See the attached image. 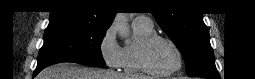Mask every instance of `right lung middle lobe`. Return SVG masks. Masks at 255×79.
Listing matches in <instances>:
<instances>
[{"label":"right lung middle lobe","mask_w":255,"mask_h":79,"mask_svg":"<svg viewBox=\"0 0 255 79\" xmlns=\"http://www.w3.org/2000/svg\"><path fill=\"white\" fill-rule=\"evenodd\" d=\"M106 30L107 28L63 22L49 24L39 52L37 68L59 62L104 66L100 46Z\"/></svg>","instance_id":"right-lung-middle-lobe-1"}]
</instances>
